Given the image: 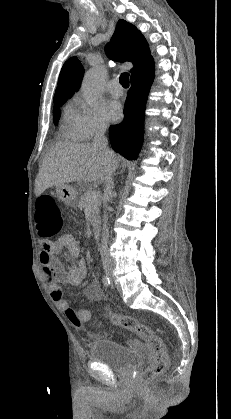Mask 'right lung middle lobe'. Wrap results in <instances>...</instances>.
I'll list each match as a JSON object with an SVG mask.
<instances>
[{
    "instance_id": "1",
    "label": "right lung middle lobe",
    "mask_w": 231,
    "mask_h": 419,
    "mask_svg": "<svg viewBox=\"0 0 231 419\" xmlns=\"http://www.w3.org/2000/svg\"><path fill=\"white\" fill-rule=\"evenodd\" d=\"M67 99H61V100H57L54 101V108H53V112H54V123L57 124L61 115V111L59 110V107L62 106Z\"/></svg>"
}]
</instances>
